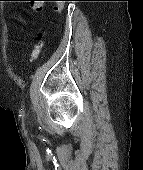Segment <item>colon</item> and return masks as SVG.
Segmentation results:
<instances>
[{
  "label": "colon",
  "mask_w": 143,
  "mask_h": 170,
  "mask_svg": "<svg viewBox=\"0 0 143 170\" xmlns=\"http://www.w3.org/2000/svg\"><path fill=\"white\" fill-rule=\"evenodd\" d=\"M31 2V7L34 10H38L40 8V1H57V4L55 5V11L57 12L58 15H61L64 9V4L62 1L64 0H28ZM47 33H41L39 35V43L37 44L36 48L33 51L32 57L34 60L38 59L40 56L43 48H44V39L46 37Z\"/></svg>",
  "instance_id": "1"
}]
</instances>
